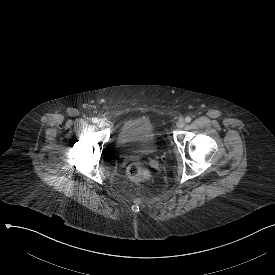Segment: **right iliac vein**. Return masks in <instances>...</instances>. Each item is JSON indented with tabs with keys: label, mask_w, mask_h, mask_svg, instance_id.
<instances>
[{
	"label": "right iliac vein",
	"mask_w": 275,
	"mask_h": 275,
	"mask_svg": "<svg viewBox=\"0 0 275 275\" xmlns=\"http://www.w3.org/2000/svg\"><path fill=\"white\" fill-rule=\"evenodd\" d=\"M98 125H99V127H103V126L105 125L104 120H103V119H100V120L98 121Z\"/></svg>",
	"instance_id": "obj_1"
}]
</instances>
